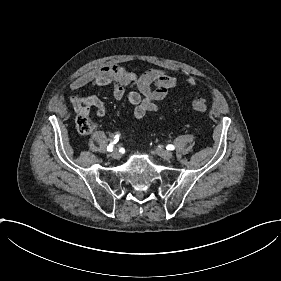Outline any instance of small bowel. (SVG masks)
<instances>
[{
	"mask_svg": "<svg viewBox=\"0 0 281 281\" xmlns=\"http://www.w3.org/2000/svg\"><path fill=\"white\" fill-rule=\"evenodd\" d=\"M177 78L160 69H150L142 75L129 72L121 66H103L77 78L70 85L73 91L86 85L111 86L116 101L126 99L134 106L133 115L142 118L146 113L160 114L158 102L164 99L169 90L177 85ZM131 89L126 92L125 88ZM70 103L79 114L86 115L90 107L96 108L103 116L106 112L104 101L98 96H70Z\"/></svg>",
	"mask_w": 281,
	"mask_h": 281,
	"instance_id": "small-bowel-1",
	"label": "small bowel"
}]
</instances>
